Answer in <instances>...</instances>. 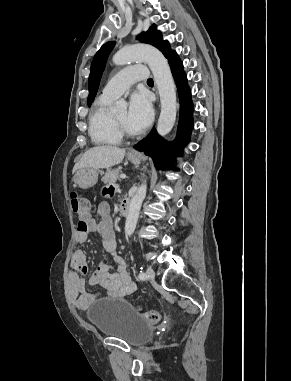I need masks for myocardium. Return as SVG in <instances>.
<instances>
[{"label": "myocardium", "mask_w": 291, "mask_h": 381, "mask_svg": "<svg viewBox=\"0 0 291 381\" xmlns=\"http://www.w3.org/2000/svg\"><path fill=\"white\" fill-rule=\"evenodd\" d=\"M113 124L115 127L116 132L122 137V138H134L137 136V133H131L129 132L118 120L115 116L112 117Z\"/></svg>", "instance_id": "myocardium-1"}]
</instances>
